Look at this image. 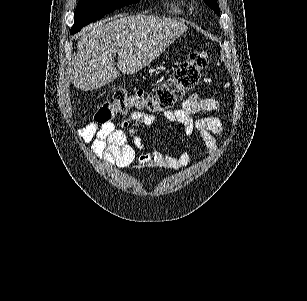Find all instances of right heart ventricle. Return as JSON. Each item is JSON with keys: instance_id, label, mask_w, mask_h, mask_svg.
<instances>
[{"instance_id": "obj_1", "label": "right heart ventricle", "mask_w": 307, "mask_h": 301, "mask_svg": "<svg viewBox=\"0 0 307 301\" xmlns=\"http://www.w3.org/2000/svg\"><path fill=\"white\" fill-rule=\"evenodd\" d=\"M167 1V0H166ZM165 7L166 17H179V10H170L171 5H162Z\"/></svg>"}]
</instances>
